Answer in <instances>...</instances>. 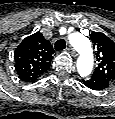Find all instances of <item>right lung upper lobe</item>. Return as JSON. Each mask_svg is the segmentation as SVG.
<instances>
[{"instance_id": "cb5924a9", "label": "right lung upper lobe", "mask_w": 115, "mask_h": 119, "mask_svg": "<svg viewBox=\"0 0 115 119\" xmlns=\"http://www.w3.org/2000/svg\"><path fill=\"white\" fill-rule=\"evenodd\" d=\"M53 53L50 42L40 32L26 37L14 52L19 78L25 82L37 80L49 69Z\"/></svg>"}]
</instances>
